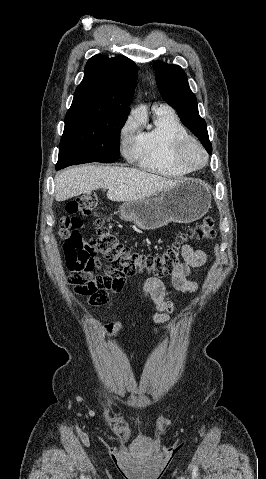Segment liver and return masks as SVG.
Masks as SVG:
<instances>
[{
  "instance_id": "1",
  "label": "liver",
  "mask_w": 266,
  "mask_h": 479,
  "mask_svg": "<svg viewBox=\"0 0 266 479\" xmlns=\"http://www.w3.org/2000/svg\"><path fill=\"white\" fill-rule=\"evenodd\" d=\"M181 182L134 168L82 165L56 175L55 199L65 201L103 188L108 189L109 200L127 202L148 198Z\"/></svg>"
}]
</instances>
